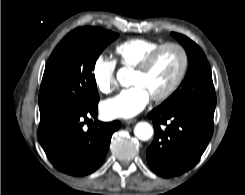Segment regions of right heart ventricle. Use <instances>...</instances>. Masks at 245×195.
I'll list each match as a JSON object with an SVG mask.
<instances>
[{
	"label": "right heart ventricle",
	"mask_w": 245,
	"mask_h": 195,
	"mask_svg": "<svg viewBox=\"0 0 245 195\" xmlns=\"http://www.w3.org/2000/svg\"><path fill=\"white\" fill-rule=\"evenodd\" d=\"M160 45V42L144 38L126 40L114 49L116 61L123 67L135 68L151 51Z\"/></svg>",
	"instance_id": "obj_1"
}]
</instances>
